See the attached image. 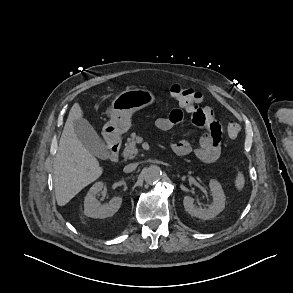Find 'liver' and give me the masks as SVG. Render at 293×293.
<instances>
[{
  "label": "liver",
  "instance_id": "1",
  "mask_svg": "<svg viewBox=\"0 0 293 293\" xmlns=\"http://www.w3.org/2000/svg\"><path fill=\"white\" fill-rule=\"evenodd\" d=\"M82 115L80 105L75 103L69 112L54 158L53 180L59 206L66 205L103 173L98 160L76 136L73 121L82 118Z\"/></svg>",
  "mask_w": 293,
  "mask_h": 293
}]
</instances>
